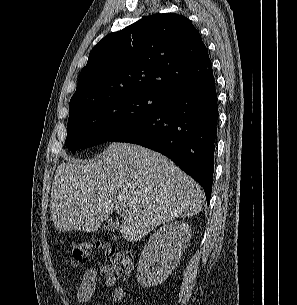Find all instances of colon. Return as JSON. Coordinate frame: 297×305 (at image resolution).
<instances>
[{"label":"colon","instance_id":"5ec220e1","mask_svg":"<svg viewBox=\"0 0 297 305\" xmlns=\"http://www.w3.org/2000/svg\"><path fill=\"white\" fill-rule=\"evenodd\" d=\"M92 251V244L89 242H79L71 249V260L76 266L85 264ZM107 262L109 271L118 278H126L133 271L132 255L119 248L111 247L107 250Z\"/></svg>","mask_w":297,"mask_h":305}]
</instances>
